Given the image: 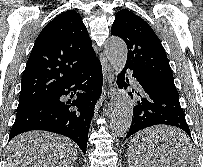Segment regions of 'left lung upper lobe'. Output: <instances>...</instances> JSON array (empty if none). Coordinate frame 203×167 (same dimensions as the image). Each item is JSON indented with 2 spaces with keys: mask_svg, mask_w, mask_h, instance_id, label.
<instances>
[{
  "mask_svg": "<svg viewBox=\"0 0 203 167\" xmlns=\"http://www.w3.org/2000/svg\"><path fill=\"white\" fill-rule=\"evenodd\" d=\"M111 34L122 38L127 45L125 68L139 71L161 85L175 87L165 50L146 21L129 10H120Z\"/></svg>",
  "mask_w": 203,
  "mask_h": 167,
  "instance_id": "5c2ea615",
  "label": "left lung upper lobe"
}]
</instances>
